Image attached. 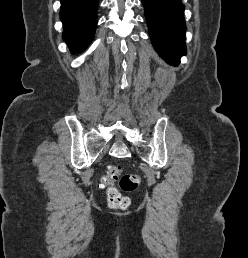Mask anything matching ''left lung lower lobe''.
Masks as SVG:
<instances>
[{
	"label": "left lung lower lobe",
	"instance_id": "obj_1",
	"mask_svg": "<svg viewBox=\"0 0 248 258\" xmlns=\"http://www.w3.org/2000/svg\"><path fill=\"white\" fill-rule=\"evenodd\" d=\"M156 51L170 64L186 54L184 5L181 0H141Z\"/></svg>",
	"mask_w": 248,
	"mask_h": 258
}]
</instances>
